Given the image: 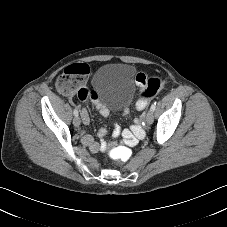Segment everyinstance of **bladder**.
<instances>
[{"mask_svg": "<svg viewBox=\"0 0 227 227\" xmlns=\"http://www.w3.org/2000/svg\"><path fill=\"white\" fill-rule=\"evenodd\" d=\"M136 75L135 67L130 64L112 63L99 68L95 74L93 99L109 107L110 100L103 97V93H106L118 105L127 106L135 94Z\"/></svg>", "mask_w": 227, "mask_h": 227, "instance_id": "obj_1", "label": "bladder"}]
</instances>
